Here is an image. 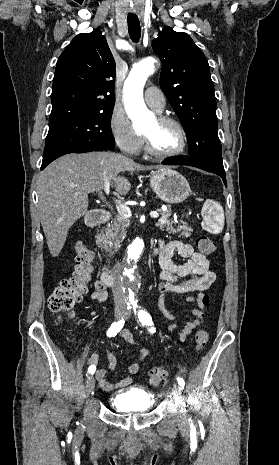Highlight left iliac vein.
<instances>
[{"label": "left iliac vein", "mask_w": 279, "mask_h": 465, "mask_svg": "<svg viewBox=\"0 0 279 465\" xmlns=\"http://www.w3.org/2000/svg\"><path fill=\"white\" fill-rule=\"evenodd\" d=\"M127 315L129 316V314ZM172 394H173L175 401L179 404L178 421L182 424H185L187 422V417H186L185 412L183 411L181 388L179 387V385L174 384Z\"/></svg>", "instance_id": "1"}]
</instances>
